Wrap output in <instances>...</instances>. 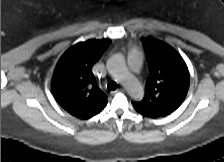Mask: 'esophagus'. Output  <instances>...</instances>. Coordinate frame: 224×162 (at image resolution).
<instances>
[{"label": "esophagus", "mask_w": 224, "mask_h": 162, "mask_svg": "<svg viewBox=\"0 0 224 162\" xmlns=\"http://www.w3.org/2000/svg\"><path fill=\"white\" fill-rule=\"evenodd\" d=\"M123 91H125V90L121 88V89L112 91L111 94L114 95V94H116V93H118V92H123Z\"/></svg>", "instance_id": "1"}]
</instances>
